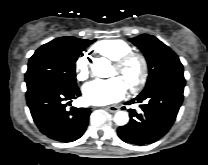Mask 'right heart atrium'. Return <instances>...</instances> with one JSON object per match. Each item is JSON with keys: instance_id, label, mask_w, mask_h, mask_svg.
I'll list each match as a JSON object with an SVG mask.
<instances>
[{"instance_id": "d8ad5b80", "label": "right heart atrium", "mask_w": 208, "mask_h": 165, "mask_svg": "<svg viewBox=\"0 0 208 165\" xmlns=\"http://www.w3.org/2000/svg\"><path fill=\"white\" fill-rule=\"evenodd\" d=\"M76 77L79 81H84L88 78L90 72V64L87 54L79 56L75 62Z\"/></svg>"}]
</instances>
